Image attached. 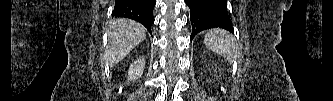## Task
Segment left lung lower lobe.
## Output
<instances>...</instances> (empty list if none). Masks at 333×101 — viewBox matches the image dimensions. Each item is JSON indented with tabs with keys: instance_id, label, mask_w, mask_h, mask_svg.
Wrapping results in <instances>:
<instances>
[{
	"instance_id": "0a47b994",
	"label": "left lung lower lobe",
	"mask_w": 333,
	"mask_h": 101,
	"mask_svg": "<svg viewBox=\"0 0 333 101\" xmlns=\"http://www.w3.org/2000/svg\"><path fill=\"white\" fill-rule=\"evenodd\" d=\"M189 6L192 34L190 39L205 29L220 27L234 32L227 12L226 0H185Z\"/></svg>"
}]
</instances>
